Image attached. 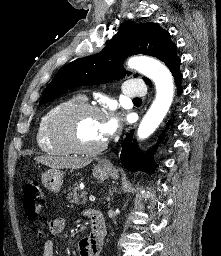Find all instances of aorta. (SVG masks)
Masks as SVG:
<instances>
[{
	"instance_id": "762f6f07",
	"label": "aorta",
	"mask_w": 221,
	"mask_h": 256,
	"mask_svg": "<svg viewBox=\"0 0 221 256\" xmlns=\"http://www.w3.org/2000/svg\"><path fill=\"white\" fill-rule=\"evenodd\" d=\"M128 66L149 77L156 86V97L144 115L138 131L139 139L149 137L166 116L174 96V83L170 71L159 61L144 58H132Z\"/></svg>"
}]
</instances>
